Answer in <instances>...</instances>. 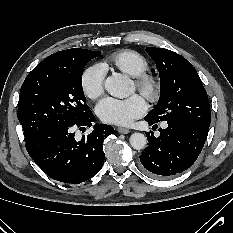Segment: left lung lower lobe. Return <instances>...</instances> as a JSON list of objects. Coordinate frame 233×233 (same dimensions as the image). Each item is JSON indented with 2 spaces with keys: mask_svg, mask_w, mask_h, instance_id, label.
Instances as JSON below:
<instances>
[{
  "mask_svg": "<svg viewBox=\"0 0 233 233\" xmlns=\"http://www.w3.org/2000/svg\"><path fill=\"white\" fill-rule=\"evenodd\" d=\"M144 119L149 125L157 123L149 118ZM166 122L167 128H159V137H155L153 132L146 133L148 147L140 156L142 165L161 177L188 169L198 158L209 131V126L189 119Z\"/></svg>",
  "mask_w": 233,
  "mask_h": 233,
  "instance_id": "obj_1",
  "label": "left lung lower lobe"
}]
</instances>
